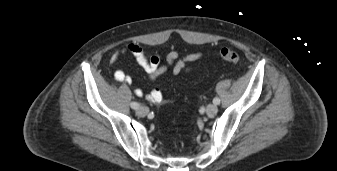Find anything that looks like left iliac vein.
I'll use <instances>...</instances> for the list:
<instances>
[{
	"instance_id": "4c4485c4",
	"label": "left iliac vein",
	"mask_w": 337,
	"mask_h": 171,
	"mask_svg": "<svg viewBox=\"0 0 337 171\" xmlns=\"http://www.w3.org/2000/svg\"><path fill=\"white\" fill-rule=\"evenodd\" d=\"M218 111V108L215 104H209L206 107V113L208 116H214Z\"/></svg>"
}]
</instances>
